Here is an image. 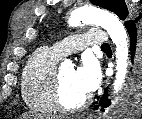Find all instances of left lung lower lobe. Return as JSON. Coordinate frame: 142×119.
Returning <instances> with one entry per match:
<instances>
[{"label":"left lung lower lobe","mask_w":142,"mask_h":119,"mask_svg":"<svg viewBox=\"0 0 142 119\" xmlns=\"http://www.w3.org/2000/svg\"><path fill=\"white\" fill-rule=\"evenodd\" d=\"M141 17L142 14L125 23L126 29L130 37L132 59L135 56L134 83L130 95L131 103L141 101L142 99V44H141L142 28L139 27L137 28V24L139 26V21ZM100 105L104 108L110 105V101L107 98V90L105 91V93L103 94L100 100ZM95 109H98V106Z\"/></svg>","instance_id":"left-lung-lower-lobe-1"}]
</instances>
